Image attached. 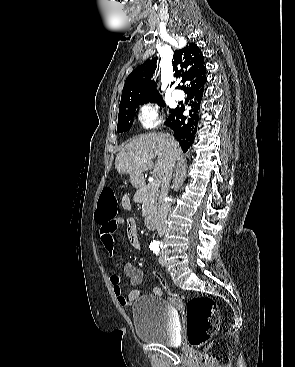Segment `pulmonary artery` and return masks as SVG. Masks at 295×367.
Returning a JSON list of instances; mask_svg holds the SVG:
<instances>
[{
  "instance_id": "e3ab8cb5",
  "label": "pulmonary artery",
  "mask_w": 295,
  "mask_h": 367,
  "mask_svg": "<svg viewBox=\"0 0 295 367\" xmlns=\"http://www.w3.org/2000/svg\"><path fill=\"white\" fill-rule=\"evenodd\" d=\"M173 98L175 100H183L184 99V93L182 91L176 90L173 92Z\"/></svg>"
}]
</instances>
